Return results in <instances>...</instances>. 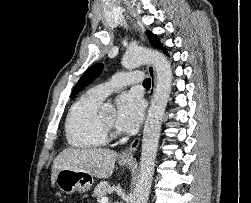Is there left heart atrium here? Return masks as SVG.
I'll use <instances>...</instances> for the list:
<instances>
[{"mask_svg":"<svg viewBox=\"0 0 251 203\" xmlns=\"http://www.w3.org/2000/svg\"><path fill=\"white\" fill-rule=\"evenodd\" d=\"M144 101L135 92H126L117 99V117L115 125L124 132L135 131L142 123L144 116Z\"/></svg>","mask_w":251,"mask_h":203,"instance_id":"39dd6f15","label":"left heart atrium"}]
</instances>
